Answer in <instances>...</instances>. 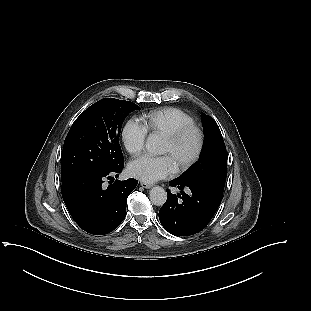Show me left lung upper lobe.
Wrapping results in <instances>:
<instances>
[{
    "mask_svg": "<svg viewBox=\"0 0 311 311\" xmlns=\"http://www.w3.org/2000/svg\"><path fill=\"white\" fill-rule=\"evenodd\" d=\"M204 142L197 162L176 178L182 182L208 184L221 192L227 176L226 147L215 120L202 114Z\"/></svg>",
    "mask_w": 311,
    "mask_h": 311,
    "instance_id": "obj_1",
    "label": "left lung upper lobe"
}]
</instances>
